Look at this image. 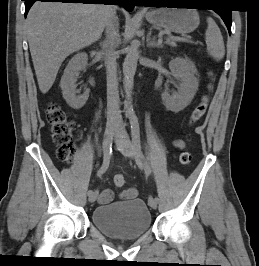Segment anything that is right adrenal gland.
I'll return each mask as SVG.
<instances>
[{
	"mask_svg": "<svg viewBox=\"0 0 259 266\" xmlns=\"http://www.w3.org/2000/svg\"><path fill=\"white\" fill-rule=\"evenodd\" d=\"M106 40L103 42H100V45L103 46L105 44Z\"/></svg>",
	"mask_w": 259,
	"mask_h": 266,
	"instance_id": "1",
	"label": "right adrenal gland"
}]
</instances>
